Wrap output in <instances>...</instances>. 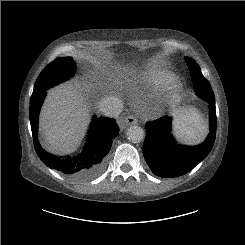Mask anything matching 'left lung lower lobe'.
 I'll return each mask as SVG.
<instances>
[{"instance_id": "1", "label": "left lung lower lobe", "mask_w": 245, "mask_h": 245, "mask_svg": "<svg viewBox=\"0 0 245 245\" xmlns=\"http://www.w3.org/2000/svg\"><path fill=\"white\" fill-rule=\"evenodd\" d=\"M209 102L210 133L206 141L196 147L177 144L172 138L171 121L168 116L146 123L144 158L152 172L160 177H178L191 171L210 152L216 137L217 118L213 91L200 95Z\"/></svg>"}]
</instances>
